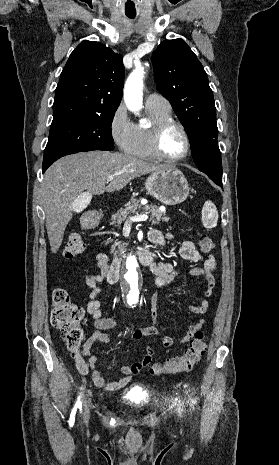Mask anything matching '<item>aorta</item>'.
Segmentation results:
<instances>
[{
    "label": "aorta",
    "instance_id": "762f6f07",
    "mask_svg": "<svg viewBox=\"0 0 279 465\" xmlns=\"http://www.w3.org/2000/svg\"><path fill=\"white\" fill-rule=\"evenodd\" d=\"M144 68L137 66L129 75L124 86V101L129 110L136 112L142 107ZM123 286L126 299L135 303L139 298L141 279L138 274V262L134 255H129L123 269Z\"/></svg>",
    "mask_w": 279,
    "mask_h": 465
}]
</instances>
